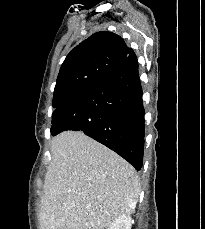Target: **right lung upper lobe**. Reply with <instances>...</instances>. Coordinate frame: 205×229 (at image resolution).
I'll return each mask as SVG.
<instances>
[{
  "label": "right lung upper lobe",
  "instance_id": "1",
  "mask_svg": "<svg viewBox=\"0 0 205 229\" xmlns=\"http://www.w3.org/2000/svg\"><path fill=\"white\" fill-rule=\"evenodd\" d=\"M124 40L108 31L91 35L73 48L64 60L58 74L53 106L72 98L103 79L128 57Z\"/></svg>",
  "mask_w": 205,
  "mask_h": 229
}]
</instances>
